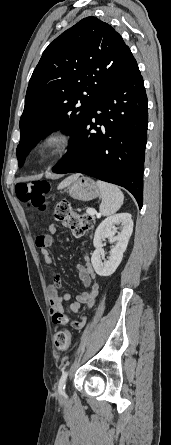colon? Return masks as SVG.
I'll list each match as a JSON object with an SVG mask.
<instances>
[{
	"label": "colon",
	"instance_id": "1",
	"mask_svg": "<svg viewBox=\"0 0 171 445\" xmlns=\"http://www.w3.org/2000/svg\"><path fill=\"white\" fill-rule=\"evenodd\" d=\"M50 191V185L47 181L37 180L32 183H20L16 186V196L19 201L28 209L44 211L47 206L46 195ZM56 221L68 227L74 236L82 237L91 229L93 220L88 214L75 213L71 204L67 200H61L57 203L54 210ZM54 321L59 326L67 323L64 315H57ZM55 346L59 350H66L70 343V333L66 329H60L55 334Z\"/></svg>",
	"mask_w": 171,
	"mask_h": 445
}]
</instances>
